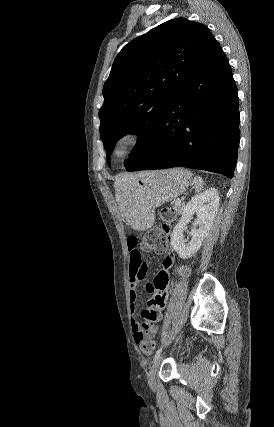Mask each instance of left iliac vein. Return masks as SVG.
<instances>
[{
	"label": "left iliac vein",
	"instance_id": "1",
	"mask_svg": "<svg viewBox=\"0 0 274 427\" xmlns=\"http://www.w3.org/2000/svg\"><path fill=\"white\" fill-rule=\"evenodd\" d=\"M163 358H164V354L159 356V358L154 362L153 366L151 367V369L149 370V373L147 375L148 384L152 389L155 388L156 373L160 367V364H161Z\"/></svg>",
	"mask_w": 274,
	"mask_h": 427
}]
</instances>
